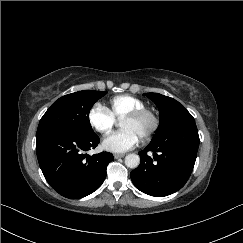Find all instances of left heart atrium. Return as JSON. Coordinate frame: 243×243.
<instances>
[{
  "label": "left heart atrium",
  "instance_id": "left-heart-atrium-1",
  "mask_svg": "<svg viewBox=\"0 0 243 243\" xmlns=\"http://www.w3.org/2000/svg\"><path fill=\"white\" fill-rule=\"evenodd\" d=\"M138 136L130 129H121L110 133L103 140L105 150L113 153H123L136 146Z\"/></svg>",
  "mask_w": 243,
  "mask_h": 243
}]
</instances>
